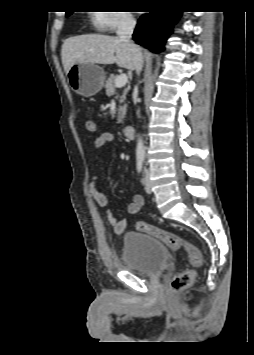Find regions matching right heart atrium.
Returning a JSON list of instances; mask_svg holds the SVG:
<instances>
[{
	"label": "right heart atrium",
	"instance_id": "1",
	"mask_svg": "<svg viewBox=\"0 0 254 355\" xmlns=\"http://www.w3.org/2000/svg\"><path fill=\"white\" fill-rule=\"evenodd\" d=\"M92 23L98 31L113 33L120 28L132 27L135 19L129 11L102 10L94 14Z\"/></svg>",
	"mask_w": 254,
	"mask_h": 355
}]
</instances>
